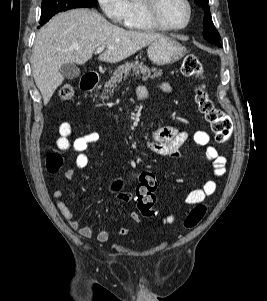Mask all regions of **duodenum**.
I'll list each match as a JSON object with an SVG mask.
<instances>
[{
    "mask_svg": "<svg viewBox=\"0 0 267 301\" xmlns=\"http://www.w3.org/2000/svg\"><path fill=\"white\" fill-rule=\"evenodd\" d=\"M99 78L96 75H86L82 78L80 87L85 91H92L98 84ZM147 95L143 94L140 99H146Z\"/></svg>",
    "mask_w": 267,
    "mask_h": 301,
    "instance_id": "410a0bca",
    "label": "duodenum"
}]
</instances>
